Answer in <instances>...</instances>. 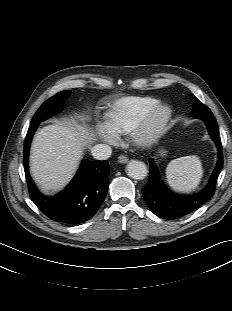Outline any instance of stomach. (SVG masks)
<instances>
[{
  "instance_id": "1",
  "label": "stomach",
  "mask_w": 232,
  "mask_h": 311,
  "mask_svg": "<svg viewBox=\"0 0 232 311\" xmlns=\"http://www.w3.org/2000/svg\"><path fill=\"white\" fill-rule=\"evenodd\" d=\"M164 154H165V151H162V152H161V155H164Z\"/></svg>"
}]
</instances>
